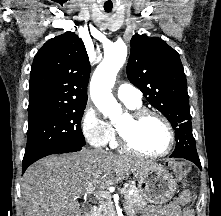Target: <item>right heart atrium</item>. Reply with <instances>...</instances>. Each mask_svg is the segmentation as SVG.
<instances>
[{"instance_id":"obj_1","label":"right heart atrium","mask_w":221,"mask_h":216,"mask_svg":"<svg viewBox=\"0 0 221 216\" xmlns=\"http://www.w3.org/2000/svg\"><path fill=\"white\" fill-rule=\"evenodd\" d=\"M84 138L95 147H104L109 143L111 126L100 115L98 110L88 104L80 121Z\"/></svg>"}]
</instances>
